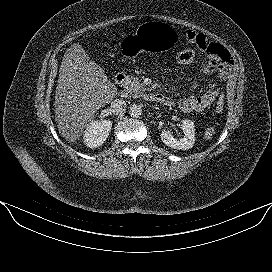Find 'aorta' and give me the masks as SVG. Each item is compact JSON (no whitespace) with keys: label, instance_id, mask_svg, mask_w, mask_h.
<instances>
[{"label":"aorta","instance_id":"762f6f07","mask_svg":"<svg viewBox=\"0 0 272 272\" xmlns=\"http://www.w3.org/2000/svg\"><path fill=\"white\" fill-rule=\"evenodd\" d=\"M129 113L132 117L134 118H138L141 116L142 114V108L140 105L138 104H133L131 107H130V110H129Z\"/></svg>","mask_w":272,"mask_h":272}]
</instances>
